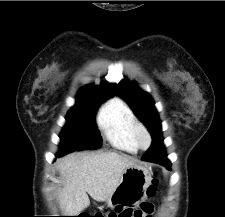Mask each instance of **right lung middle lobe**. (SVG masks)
<instances>
[{"instance_id":"dd1d6c3e","label":"right lung middle lobe","mask_w":225,"mask_h":217,"mask_svg":"<svg viewBox=\"0 0 225 217\" xmlns=\"http://www.w3.org/2000/svg\"><path fill=\"white\" fill-rule=\"evenodd\" d=\"M106 99L81 97L71 108L66 117V125L60 135L62 156L74 150L98 149L101 147V136L95 125V113L98 106Z\"/></svg>"}]
</instances>
